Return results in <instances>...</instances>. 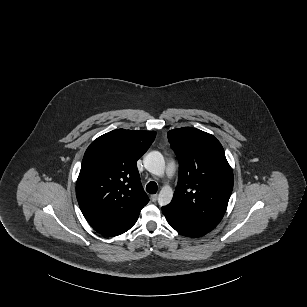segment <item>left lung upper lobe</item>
Returning a JSON list of instances; mask_svg holds the SVG:
<instances>
[{
	"mask_svg": "<svg viewBox=\"0 0 307 307\" xmlns=\"http://www.w3.org/2000/svg\"><path fill=\"white\" fill-rule=\"evenodd\" d=\"M179 161V180L167 206L207 231L221 221L233 189V172L220 142L211 134L184 127L168 132Z\"/></svg>",
	"mask_w": 307,
	"mask_h": 307,
	"instance_id": "1",
	"label": "left lung upper lobe"
}]
</instances>
